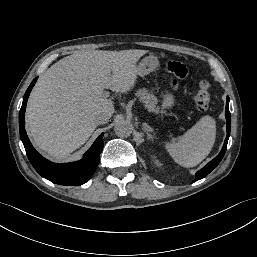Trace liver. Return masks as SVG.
Instances as JSON below:
<instances>
[{"mask_svg": "<svg viewBox=\"0 0 257 257\" xmlns=\"http://www.w3.org/2000/svg\"><path fill=\"white\" fill-rule=\"evenodd\" d=\"M146 50L77 52L42 74L26 109V125L36 146L62 159L94 132L99 114L114 113L104 89L127 93L136 83L137 61Z\"/></svg>", "mask_w": 257, "mask_h": 257, "instance_id": "obj_1", "label": "liver"}]
</instances>
